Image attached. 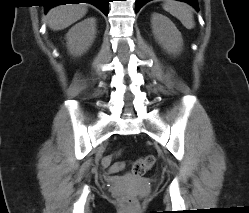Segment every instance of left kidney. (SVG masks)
Wrapping results in <instances>:
<instances>
[{
    "label": "left kidney",
    "instance_id": "left-kidney-1",
    "mask_svg": "<svg viewBox=\"0 0 249 213\" xmlns=\"http://www.w3.org/2000/svg\"><path fill=\"white\" fill-rule=\"evenodd\" d=\"M151 24L156 41L167 53L177 55L182 51V35L168 17L159 13H153Z\"/></svg>",
    "mask_w": 249,
    "mask_h": 213
}]
</instances>
